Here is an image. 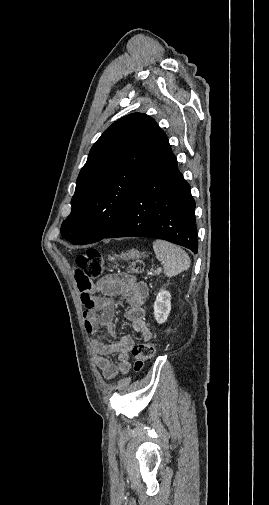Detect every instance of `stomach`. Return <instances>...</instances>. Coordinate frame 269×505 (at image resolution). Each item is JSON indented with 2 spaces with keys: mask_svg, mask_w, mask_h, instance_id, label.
<instances>
[{
  "mask_svg": "<svg viewBox=\"0 0 269 505\" xmlns=\"http://www.w3.org/2000/svg\"><path fill=\"white\" fill-rule=\"evenodd\" d=\"M142 257V253L139 252L137 249H131V250H128L127 252L125 253H122L120 258L123 259V260H135V259H139Z\"/></svg>",
  "mask_w": 269,
  "mask_h": 505,
  "instance_id": "0dacf381",
  "label": "stomach"
}]
</instances>
